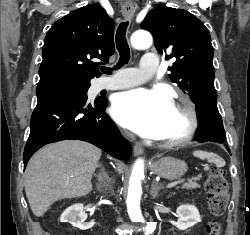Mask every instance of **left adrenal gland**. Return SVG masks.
I'll return each mask as SVG.
<instances>
[{
  "mask_svg": "<svg viewBox=\"0 0 250 235\" xmlns=\"http://www.w3.org/2000/svg\"><path fill=\"white\" fill-rule=\"evenodd\" d=\"M161 189H162V186H158V184L155 181H153L151 191H150V195L152 199H155L159 196V191Z\"/></svg>",
  "mask_w": 250,
  "mask_h": 235,
  "instance_id": "left-adrenal-gland-1",
  "label": "left adrenal gland"
}]
</instances>
